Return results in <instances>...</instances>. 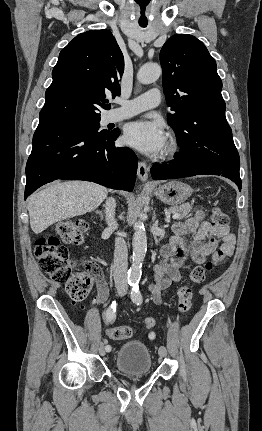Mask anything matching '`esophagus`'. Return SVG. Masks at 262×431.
Wrapping results in <instances>:
<instances>
[{"label":"esophagus","mask_w":262,"mask_h":431,"mask_svg":"<svg viewBox=\"0 0 262 431\" xmlns=\"http://www.w3.org/2000/svg\"><path fill=\"white\" fill-rule=\"evenodd\" d=\"M148 173H149V167L147 164L143 161L138 163V169H137V176L140 181H142L145 186H153L151 182H149L148 179Z\"/></svg>","instance_id":"esophagus-1"}]
</instances>
